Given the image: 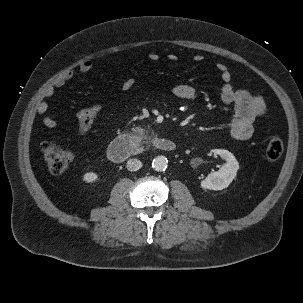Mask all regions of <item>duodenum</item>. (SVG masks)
I'll list each match as a JSON object with an SVG mask.
<instances>
[{
    "instance_id": "obj_1",
    "label": "duodenum",
    "mask_w": 303,
    "mask_h": 303,
    "mask_svg": "<svg viewBox=\"0 0 303 303\" xmlns=\"http://www.w3.org/2000/svg\"><path fill=\"white\" fill-rule=\"evenodd\" d=\"M151 143L155 149L164 152H173L176 149V144L167 138L154 137ZM138 148L136 137L132 134H124L118 136L110 143L107 155L111 161L119 163L128 158Z\"/></svg>"
}]
</instances>
